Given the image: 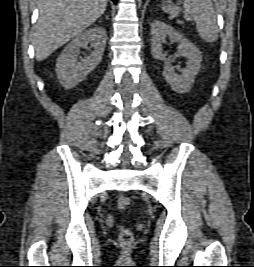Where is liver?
Returning a JSON list of instances; mask_svg holds the SVG:
<instances>
[{"mask_svg": "<svg viewBox=\"0 0 254 267\" xmlns=\"http://www.w3.org/2000/svg\"><path fill=\"white\" fill-rule=\"evenodd\" d=\"M108 0H40L33 38L37 61L78 36L106 10Z\"/></svg>", "mask_w": 254, "mask_h": 267, "instance_id": "6515ba94", "label": "liver"}]
</instances>
